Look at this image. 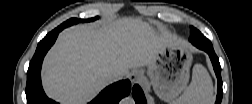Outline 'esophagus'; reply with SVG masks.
Segmentation results:
<instances>
[{
	"label": "esophagus",
	"instance_id": "obj_1",
	"mask_svg": "<svg viewBox=\"0 0 252 104\" xmlns=\"http://www.w3.org/2000/svg\"><path fill=\"white\" fill-rule=\"evenodd\" d=\"M142 77V72L139 71V70H134L130 73L129 75V79L130 81L133 83V82H136L137 80H139L140 78Z\"/></svg>",
	"mask_w": 252,
	"mask_h": 104
}]
</instances>
